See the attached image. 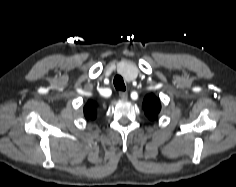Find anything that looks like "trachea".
I'll return each instance as SVG.
<instances>
[{
    "label": "trachea",
    "instance_id": "trachea-1",
    "mask_svg": "<svg viewBox=\"0 0 236 187\" xmlns=\"http://www.w3.org/2000/svg\"><path fill=\"white\" fill-rule=\"evenodd\" d=\"M114 86L116 88V90H120V91H125L126 87H125V83L123 81V78L121 76H116L114 78Z\"/></svg>",
    "mask_w": 236,
    "mask_h": 187
}]
</instances>
